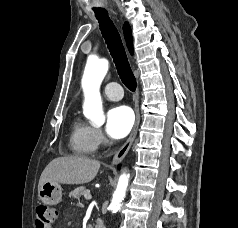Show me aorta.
Returning a JSON list of instances; mask_svg holds the SVG:
<instances>
[{
    "mask_svg": "<svg viewBox=\"0 0 238 228\" xmlns=\"http://www.w3.org/2000/svg\"><path fill=\"white\" fill-rule=\"evenodd\" d=\"M109 68L108 60H89L86 64L82 77V88L84 92L83 112L94 124L101 125L105 121L100 95V85ZM129 183V175H120L116 190L114 191L109 205L112 213H116L123 201Z\"/></svg>",
    "mask_w": 238,
    "mask_h": 228,
    "instance_id": "aorta-1",
    "label": "aorta"
}]
</instances>
